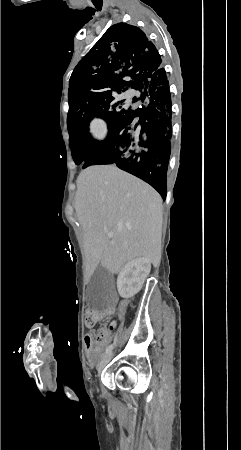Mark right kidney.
I'll return each instance as SVG.
<instances>
[{
	"label": "right kidney",
	"instance_id": "right-kidney-1",
	"mask_svg": "<svg viewBox=\"0 0 241 450\" xmlns=\"http://www.w3.org/2000/svg\"><path fill=\"white\" fill-rule=\"evenodd\" d=\"M150 270L151 260L148 258H136L125 264L117 278V290L121 298H133L138 294Z\"/></svg>",
	"mask_w": 241,
	"mask_h": 450
}]
</instances>
